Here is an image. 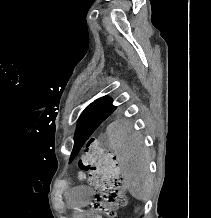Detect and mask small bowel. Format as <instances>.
Wrapping results in <instances>:
<instances>
[{
  "mask_svg": "<svg viewBox=\"0 0 211 218\" xmlns=\"http://www.w3.org/2000/svg\"><path fill=\"white\" fill-rule=\"evenodd\" d=\"M93 195V190L88 186H79L65 192L67 202L72 206L85 204Z\"/></svg>",
  "mask_w": 211,
  "mask_h": 218,
  "instance_id": "c3829d8e",
  "label": "small bowel"
}]
</instances>
